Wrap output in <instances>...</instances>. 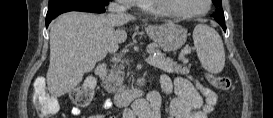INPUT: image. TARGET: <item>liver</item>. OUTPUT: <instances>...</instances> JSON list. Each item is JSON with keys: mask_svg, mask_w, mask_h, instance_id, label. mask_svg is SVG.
Segmentation results:
<instances>
[{"mask_svg": "<svg viewBox=\"0 0 273 118\" xmlns=\"http://www.w3.org/2000/svg\"><path fill=\"white\" fill-rule=\"evenodd\" d=\"M132 20L135 17L123 13L95 15L74 11L59 16L50 29V64L46 75L49 92L54 97L71 92L85 73L127 39L126 32L115 27Z\"/></svg>", "mask_w": 273, "mask_h": 118, "instance_id": "1", "label": "liver"}]
</instances>
